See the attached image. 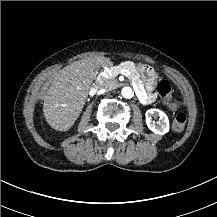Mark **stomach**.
Listing matches in <instances>:
<instances>
[{
	"instance_id": "0dacf381",
	"label": "stomach",
	"mask_w": 217,
	"mask_h": 217,
	"mask_svg": "<svg viewBox=\"0 0 217 217\" xmlns=\"http://www.w3.org/2000/svg\"><path fill=\"white\" fill-rule=\"evenodd\" d=\"M136 69L139 72L143 85L147 92H152L156 88L157 74L154 67L148 64H137Z\"/></svg>"
}]
</instances>
